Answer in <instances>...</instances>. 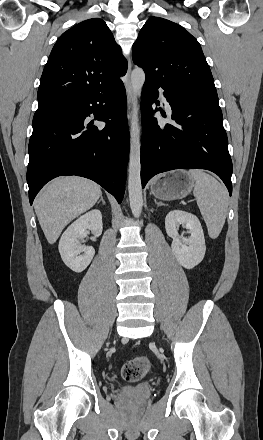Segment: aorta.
<instances>
[{
    "label": "aorta",
    "mask_w": 263,
    "mask_h": 440,
    "mask_svg": "<svg viewBox=\"0 0 263 440\" xmlns=\"http://www.w3.org/2000/svg\"><path fill=\"white\" fill-rule=\"evenodd\" d=\"M145 82L143 69L137 67L131 73V85L133 90L134 104L130 130V159L128 169V192L130 208L134 217L138 218L142 212L143 196L141 185V161H140V126L138 123L137 97L140 95Z\"/></svg>",
    "instance_id": "762f6f07"
}]
</instances>
